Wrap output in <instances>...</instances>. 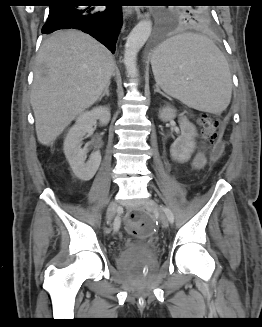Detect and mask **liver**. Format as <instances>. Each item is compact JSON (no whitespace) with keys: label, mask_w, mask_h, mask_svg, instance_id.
Here are the masks:
<instances>
[{"label":"liver","mask_w":262,"mask_h":327,"mask_svg":"<svg viewBox=\"0 0 262 327\" xmlns=\"http://www.w3.org/2000/svg\"><path fill=\"white\" fill-rule=\"evenodd\" d=\"M114 70L113 55L91 36L65 30L48 37L37 56L31 92L38 141L53 144L99 99Z\"/></svg>","instance_id":"1"}]
</instances>
